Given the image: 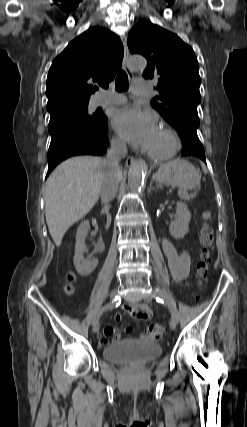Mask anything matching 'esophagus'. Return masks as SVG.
<instances>
[{
	"mask_svg": "<svg viewBox=\"0 0 247 427\" xmlns=\"http://www.w3.org/2000/svg\"><path fill=\"white\" fill-rule=\"evenodd\" d=\"M122 44H123V49H124V56H123V69L125 70V72L127 73L128 77L130 79L133 78L134 74L133 71L130 69L129 65H128V56H129V51H128V46H127V40L126 37L121 35L120 36ZM136 162V159L134 157H127L126 159V166L129 167L132 164H134Z\"/></svg>",
	"mask_w": 247,
	"mask_h": 427,
	"instance_id": "obj_1",
	"label": "esophagus"
}]
</instances>
